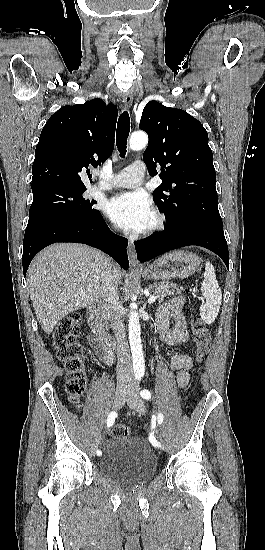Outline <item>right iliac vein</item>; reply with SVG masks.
Segmentation results:
<instances>
[{
    "label": "right iliac vein",
    "instance_id": "63e3f726",
    "mask_svg": "<svg viewBox=\"0 0 265 550\" xmlns=\"http://www.w3.org/2000/svg\"><path fill=\"white\" fill-rule=\"evenodd\" d=\"M127 393L128 391L125 387L119 386L117 388L113 398L114 409H120L123 406Z\"/></svg>",
    "mask_w": 265,
    "mask_h": 550
}]
</instances>
